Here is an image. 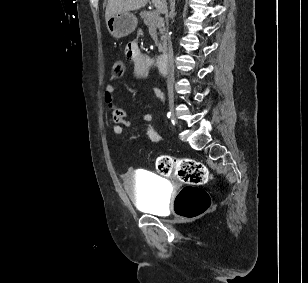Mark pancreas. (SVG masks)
<instances>
[{
  "label": "pancreas",
  "instance_id": "cf45deb5",
  "mask_svg": "<svg viewBox=\"0 0 308 283\" xmlns=\"http://www.w3.org/2000/svg\"><path fill=\"white\" fill-rule=\"evenodd\" d=\"M140 16L146 26L159 29L162 36L160 42L157 44L158 50L165 53L167 45V29L165 28L163 18L160 17V13L158 11H143L140 13Z\"/></svg>",
  "mask_w": 308,
  "mask_h": 283
}]
</instances>
